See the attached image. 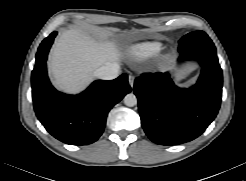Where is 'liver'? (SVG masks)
Masks as SVG:
<instances>
[{
	"instance_id": "obj_1",
	"label": "liver",
	"mask_w": 246,
	"mask_h": 181,
	"mask_svg": "<svg viewBox=\"0 0 246 181\" xmlns=\"http://www.w3.org/2000/svg\"><path fill=\"white\" fill-rule=\"evenodd\" d=\"M119 59L114 42H97L78 29H69L55 42L49 71L56 88L76 94L88 86L98 68Z\"/></svg>"
}]
</instances>
